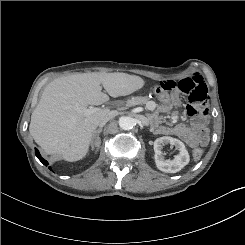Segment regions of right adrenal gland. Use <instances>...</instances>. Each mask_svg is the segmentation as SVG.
Masks as SVG:
<instances>
[{"label": "right adrenal gland", "mask_w": 245, "mask_h": 245, "mask_svg": "<svg viewBox=\"0 0 245 245\" xmlns=\"http://www.w3.org/2000/svg\"><path fill=\"white\" fill-rule=\"evenodd\" d=\"M101 132H102V127H100L99 129H97L95 131V134H94V137H93V140H92V143H91L92 147L95 146L97 150L99 149L100 143H101V140H100V137H99Z\"/></svg>", "instance_id": "right-adrenal-gland-1"}]
</instances>
